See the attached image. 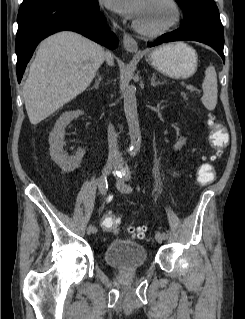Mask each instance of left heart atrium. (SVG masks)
Returning <instances> with one entry per match:
<instances>
[{
  "instance_id": "left-heart-atrium-1",
  "label": "left heart atrium",
  "mask_w": 245,
  "mask_h": 319,
  "mask_svg": "<svg viewBox=\"0 0 245 319\" xmlns=\"http://www.w3.org/2000/svg\"><path fill=\"white\" fill-rule=\"evenodd\" d=\"M109 9L133 20L141 14L146 0H102Z\"/></svg>"
}]
</instances>
